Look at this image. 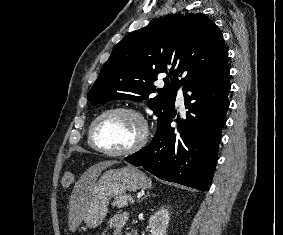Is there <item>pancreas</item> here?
<instances>
[{"instance_id": "1", "label": "pancreas", "mask_w": 283, "mask_h": 235, "mask_svg": "<svg viewBox=\"0 0 283 235\" xmlns=\"http://www.w3.org/2000/svg\"><path fill=\"white\" fill-rule=\"evenodd\" d=\"M131 198V195L119 196L113 201L112 205L117 206L118 208L126 207L128 206V203L131 202Z\"/></svg>"}]
</instances>
